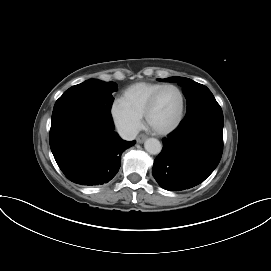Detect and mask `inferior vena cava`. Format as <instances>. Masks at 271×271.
Returning a JSON list of instances; mask_svg holds the SVG:
<instances>
[{"mask_svg": "<svg viewBox=\"0 0 271 271\" xmlns=\"http://www.w3.org/2000/svg\"><path fill=\"white\" fill-rule=\"evenodd\" d=\"M137 134H138V131L132 128H125V129L119 130L120 137L127 141L134 140Z\"/></svg>", "mask_w": 271, "mask_h": 271, "instance_id": "obj_1", "label": "inferior vena cava"}]
</instances>
